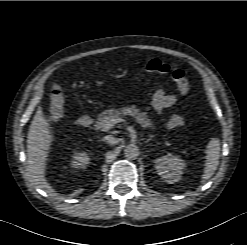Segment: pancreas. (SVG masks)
Segmentation results:
<instances>
[{
	"instance_id": "obj_1",
	"label": "pancreas",
	"mask_w": 247,
	"mask_h": 245,
	"mask_svg": "<svg viewBox=\"0 0 247 245\" xmlns=\"http://www.w3.org/2000/svg\"><path fill=\"white\" fill-rule=\"evenodd\" d=\"M124 115L132 116L144 128H155L153 122L148 118L147 113L141 112L135 105L103 111L98 115L95 127L96 129L108 131L110 128L106 127L107 120L112 117L120 118Z\"/></svg>"
}]
</instances>
